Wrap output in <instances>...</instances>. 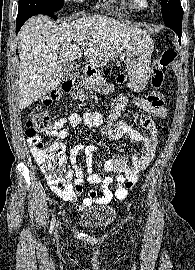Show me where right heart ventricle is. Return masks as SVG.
Listing matches in <instances>:
<instances>
[{
    "label": "right heart ventricle",
    "instance_id": "right-heart-ventricle-1",
    "mask_svg": "<svg viewBox=\"0 0 195 270\" xmlns=\"http://www.w3.org/2000/svg\"><path fill=\"white\" fill-rule=\"evenodd\" d=\"M124 6L132 10H143L145 8L143 0H123Z\"/></svg>",
    "mask_w": 195,
    "mask_h": 270
}]
</instances>
